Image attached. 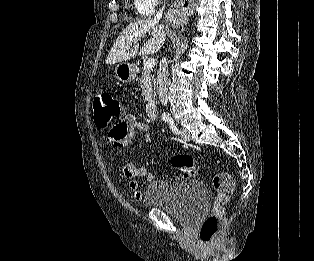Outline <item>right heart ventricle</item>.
<instances>
[{"label": "right heart ventricle", "instance_id": "obj_1", "mask_svg": "<svg viewBox=\"0 0 314 261\" xmlns=\"http://www.w3.org/2000/svg\"><path fill=\"white\" fill-rule=\"evenodd\" d=\"M133 7L141 16L149 15L153 11L146 0H133Z\"/></svg>", "mask_w": 314, "mask_h": 261}]
</instances>
